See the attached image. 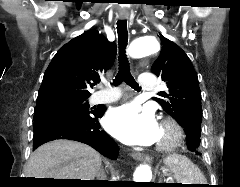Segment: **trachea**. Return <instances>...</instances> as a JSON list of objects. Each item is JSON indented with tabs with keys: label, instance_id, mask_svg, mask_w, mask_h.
Here are the masks:
<instances>
[{
	"label": "trachea",
	"instance_id": "3493384b",
	"mask_svg": "<svg viewBox=\"0 0 240 187\" xmlns=\"http://www.w3.org/2000/svg\"><path fill=\"white\" fill-rule=\"evenodd\" d=\"M117 33H118V43H119V70L115 79L113 80V85L117 86L121 82L125 81L129 86L135 90H140L138 83L135 81L130 73V66L128 63V58L126 57V46L128 42V32H127V21L119 20L117 22Z\"/></svg>",
	"mask_w": 240,
	"mask_h": 187
}]
</instances>
